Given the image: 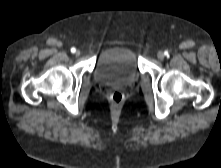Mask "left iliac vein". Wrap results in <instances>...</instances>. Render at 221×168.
<instances>
[{"instance_id":"4c4485c4","label":"left iliac vein","mask_w":221,"mask_h":168,"mask_svg":"<svg viewBox=\"0 0 221 168\" xmlns=\"http://www.w3.org/2000/svg\"><path fill=\"white\" fill-rule=\"evenodd\" d=\"M157 57L159 60H163L165 58V54L162 51H159Z\"/></svg>"}]
</instances>
